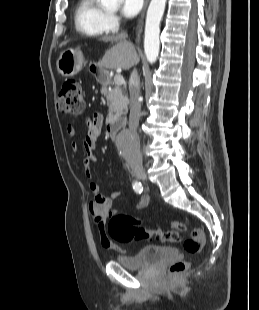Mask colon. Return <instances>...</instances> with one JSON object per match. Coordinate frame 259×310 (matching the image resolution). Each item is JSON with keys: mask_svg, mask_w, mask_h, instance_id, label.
<instances>
[{"mask_svg": "<svg viewBox=\"0 0 259 310\" xmlns=\"http://www.w3.org/2000/svg\"><path fill=\"white\" fill-rule=\"evenodd\" d=\"M85 101L78 81L67 80L63 83L57 97L58 110L66 115L78 116L84 111ZM170 231L160 229H146L141 226L140 220L125 213H115L110 217L108 233L115 241L127 243L133 240L158 238L163 242L176 243L181 241V233L188 227L182 222H171ZM204 246V233L200 228L191 230L190 237L184 241V250L191 255L199 253ZM189 266L187 261H177L170 267L173 274L185 271Z\"/></svg>", "mask_w": 259, "mask_h": 310, "instance_id": "obj_1", "label": "colon"}]
</instances>
